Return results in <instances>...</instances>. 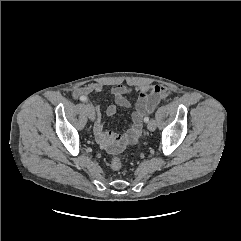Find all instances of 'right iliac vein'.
I'll use <instances>...</instances> for the list:
<instances>
[{
    "instance_id": "obj_1",
    "label": "right iliac vein",
    "mask_w": 241,
    "mask_h": 241,
    "mask_svg": "<svg viewBox=\"0 0 241 241\" xmlns=\"http://www.w3.org/2000/svg\"><path fill=\"white\" fill-rule=\"evenodd\" d=\"M86 111L89 119L93 121L95 119V109L92 104H86Z\"/></svg>"
}]
</instances>
